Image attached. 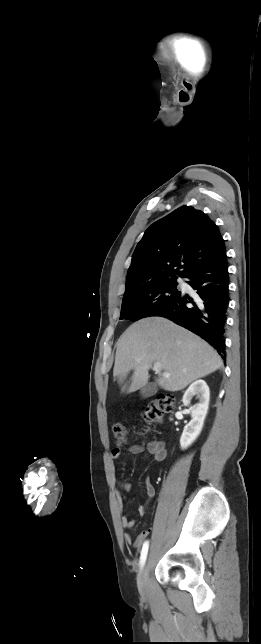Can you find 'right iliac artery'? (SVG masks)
I'll return each mask as SVG.
<instances>
[{
  "instance_id": "1",
  "label": "right iliac artery",
  "mask_w": 261,
  "mask_h": 644,
  "mask_svg": "<svg viewBox=\"0 0 261 644\" xmlns=\"http://www.w3.org/2000/svg\"><path fill=\"white\" fill-rule=\"evenodd\" d=\"M148 548H149V541H145L141 550V555H140V567H143L146 558H147V553H148Z\"/></svg>"
}]
</instances>
